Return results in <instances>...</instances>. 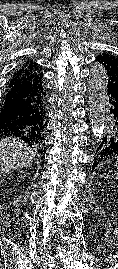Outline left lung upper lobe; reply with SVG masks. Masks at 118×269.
<instances>
[{"instance_id":"5c2ea615","label":"left lung upper lobe","mask_w":118,"mask_h":269,"mask_svg":"<svg viewBox=\"0 0 118 269\" xmlns=\"http://www.w3.org/2000/svg\"><path fill=\"white\" fill-rule=\"evenodd\" d=\"M96 59L105 67L108 92L118 95V58L109 53H102Z\"/></svg>"}]
</instances>
